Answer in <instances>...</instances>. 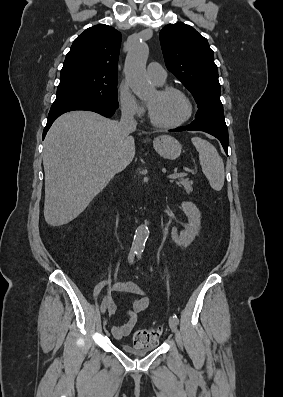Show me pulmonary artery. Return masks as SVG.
I'll return each instance as SVG.
<instances>
[{
    "label": "pulmonary artery",
    "mask_w": 283,
    "mask_h": 397,
    "mask_svg": "<svg viewBox=\"0 0 283 397\" xmlns=\"http://www.w3.org/2000/svg\"><path fill=\"white\" fill-rule=\"evenodd\" d=\"M147 74L156 84H163L166 80V71L157 62L149 63L147 67Z\"/></svg>",
    "instance_id": "e3ab8cb5"
}]
</instances>
